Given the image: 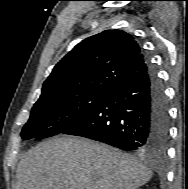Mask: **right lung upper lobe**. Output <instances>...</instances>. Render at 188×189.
<instances>
[{"mask_svg": "<svg viewBox=\"0 0 188 189\" xmlns=\"http://www.w3.org/2000/svg\"><path fill=\"white\" fill-rule=\"evenodd\" d=\"M147 70L146 58L133 36L106 30L77 44L56 64L40 97L93 88L114 90Z\"/></svg>", "mask_w": 188, "mask_h": 189, "instance_id": "cb5924a9", "label": "right lung upper lobe"}]
</instances>
